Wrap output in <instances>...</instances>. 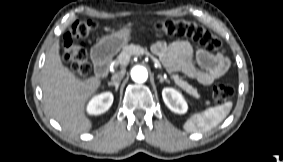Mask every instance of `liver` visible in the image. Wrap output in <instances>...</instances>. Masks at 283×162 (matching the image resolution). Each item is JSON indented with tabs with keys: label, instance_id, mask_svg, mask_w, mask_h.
Returning a JSON list of instances; mask_svg holds the SVG:
<instances>
[{
	"label": "liver",
	"instance_id": "1",
	"mask_svg": "<svg viewBox=\"0 0 283 162\" xmlns=\"http://www.w3.org/2000/svg\"><path fill=\"white\" fill-rule=\"evenodd\" d=\"M41 86L48 114L65 130L80 134L92 128L85 106L101 86V80L96 76L78 78L62 63L59 42L52 45L46 56Z\"/></svg>",
	"mask_w": 283,
	"mask_h": 162
}]
</instances>
